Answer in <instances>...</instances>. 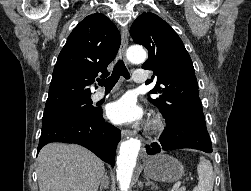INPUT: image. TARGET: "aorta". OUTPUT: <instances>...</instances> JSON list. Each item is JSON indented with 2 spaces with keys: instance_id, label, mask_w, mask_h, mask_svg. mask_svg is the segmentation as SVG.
<instances>
[{
  "instance_id": "obj_1",
  "label": "aorta",
  "mask_w": 251,
  "mask_h": 191,
  "mask_svg": "<svg viewBox=\"0 0 251 191\" xmlns=\"http://www.w3.org/2000/svg\"><path fill=\"white\" fill-rule=\"evenodd\" d=\"M126 58L129 62H133V64H142V62H145L147 54L141 46H131V48L126 50ZM140 145V139H133V137L132 139L123 141L120 145V151L116 163L117 179L122 191H128Z\"/></svg>"
}]
</instances>
